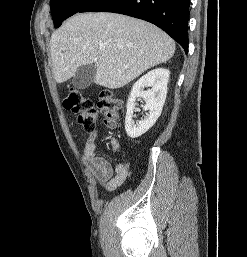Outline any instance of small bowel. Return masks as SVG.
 Listing matches in <instances>:
<instances>
[{
    "instance_id": "1",
    "label": "small bowel",
    "mask_w": 247,
    "mask_h": 257,
    "mask_svg": "<svg viewBox=\"0 0 247 257\" xmlns=\"http://www.w3.org/2000/svg\"><path fill=\"white\" fill-rule=\"evenodd\" d=\"M98 133L97 130L90 133L83 155L97 181L106 191L111 192L126 180L128 169L122 163H118L113 167L104 157L98 154L95 143ZM110 148L114 153L120 151V143L116 138L111 139Z\"/></svg>"
}]
</instances>
